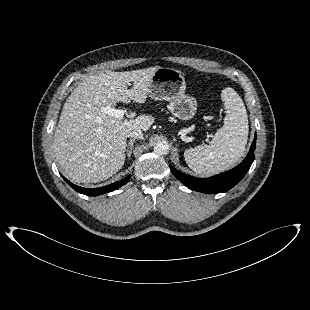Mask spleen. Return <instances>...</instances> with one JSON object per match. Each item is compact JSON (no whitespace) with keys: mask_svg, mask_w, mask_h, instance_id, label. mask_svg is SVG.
Masks as SVG:
<instances>
[{"mask_svg":"<svg viewBox=\"0 0 310 310\" xmlns=\"http://www.w3.org/2000/svg\"><path fill=\"white\" fill-rule=\"evenodd\" d=\"M226 117L224 126L209 145L196 146L184 152L187 165L199 174L211 175L232 167L244 154L249 126L245 105L232 88L222 90Z\"/></svg>","mask_w":310,"mask_h":310,"instance_id":"1","label":"spleen"}]
</instances>
